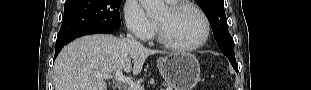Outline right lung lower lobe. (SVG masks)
<instances>
[{
	"label": "right lung lower lobe",
	"mask_w": 311,
	"mask_h": 90,
	"mask_svg": "<svg viewBox=\"0 0 311 90\" xmlns=\"http://www.w3.org/2000/svg\"><path fill=\"white\" fill-rule=\"evenodd\" d=\"M115 29L116 28H86V29H82V30L73 32L67 36L62 37V38H57L54 60H55L56 56L58 55V53L63 48V46L66 45L67 43H69L70 41L74 40L75 38H78V37L83 36V35H88V34L110 33V32H113Z\"/></svg>",
	"instance_id": "98d812e1"
}]
</instances>
